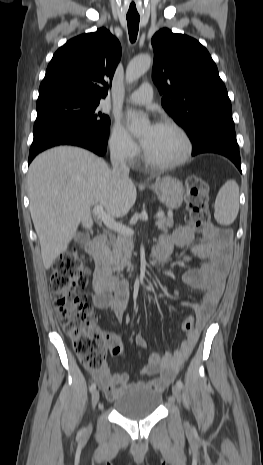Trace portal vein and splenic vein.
Instances as JSON below:
<instances>
[{
  "instance_id": "obj_1",
  "label": "portal vein and splenic vein",
  "mask_w": 263,
  "mask_h": 465,
  "mask_svg": "<svg viewBox=\"0 0 263 465\" xmlns=\"http://www.w3.org/2000/svg\"><path fill=\"white\" fill-rule=\"evenodd\" d=\"M93 213L94 215L101 219L102 222L106 225V227H108L109 229L111 230H114V231H117L119 232L120 234H126L128 236H133L134 234V231L129 228V227H126L120 223H117L113 216L110 215L109 213H107L106 211H104V208L103 206L101 205H96L94 206L93 208ZM164 216V213L163 212H158L156 214V218H161Z\"/></svg>"
}]
</instances>
